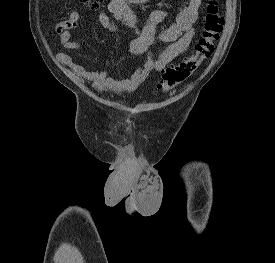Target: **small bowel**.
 Returning <instances> with one entry per match:
<instances>
[{
  "label": "small bowel",
  "mask_w": 275,
  "mask_h": 263,
  "mask_svg": "<svg viewBox=\"0 0 275 263\" xmlns=\"http://www.w3.org/2000/svg\"><path fill=\"white\" fill-rule=\"evenodd\" d=\"M149 0H111L106 11L100 13L99 24L109 32L121 33L122 25L135 31L134 37H127V46L134 55H145V61L128 77L117 79L109 74L110 61H106L103 70H87L84 66L73 61L65 52H58L56 59L69 68L77 77L89 82L90 86L100 92L120 94L136 91L139 86L152 74L162 72L172 61L182 55L191 43L198 10L202 0H189L176 17L174 23L162 30L158 27L167 17L163 8L155 9L147 22L140 26L132 6L146 3ZM80 12L73 11L55 27L61 46L66 50H79L81 43L72 39V32L78 28ZM156 41L166 44V48L155 57L148 48Z\"/></svg>",
  "instance_id": "obj_1"
}]
</instances>
